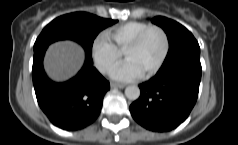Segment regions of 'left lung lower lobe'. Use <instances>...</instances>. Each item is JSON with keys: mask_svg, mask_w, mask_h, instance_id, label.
Returning a JSON list of instances; mask_svg holds the SVG:
<instances>
[{"mask_svg": "<svg viewBox=\"0 0 238 145\" xmlns=\"http://www.w3.org/2000/svg\"><path fill=\"white\" fill-rule=\"evenodd\" d=\"M201 73L197 55L160 68L154 77L139 86L141 95L130 105L132 117L151 131L175 129L187 119L196 103Z\"/></svg>", "mask_w": 238, "mask_h": 145, "instance_id": "obj_1", "label": "left lung lower lobe"}]
</instances>
